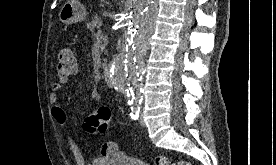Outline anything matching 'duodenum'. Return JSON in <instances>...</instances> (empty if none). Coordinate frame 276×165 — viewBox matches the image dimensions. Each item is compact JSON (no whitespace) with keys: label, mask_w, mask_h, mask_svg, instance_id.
<instances>
[{"label":"duodenum","mask_w":276,"mask_h":165,"mask_svg":"<svg viewBox=\"0 0 276 165\" xmlns=\"http://www.w3.org/2000/svg\"><path fill=\"white\" fill-rule=\"evenodd\" d=\"M103 76H104L106 81H110V71H109L108 67H105L103 69Z\"/></svg>","instance_id":"obj_1"}]
</instances>
